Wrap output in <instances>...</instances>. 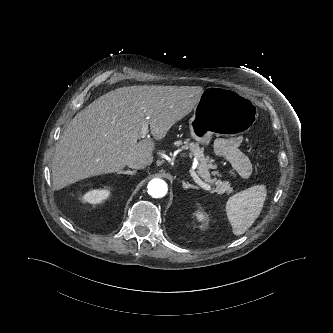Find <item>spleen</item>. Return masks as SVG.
I'll list each match as a JSON object with an SVG mask.
<instances>
[{
	"instance_id": "obj_1",
	"label": "spleen",
	"mask_w": 333,
	"mask_h": 333,
	"mask_svg": "<svg viewBox=\"0 0 333 333\" xmlns=\"http://www.w3.org/2000/svg\"><path fill=\"white\" fill-rule=\"evenodd\" d=\"M266 198L264 185L253 186L231 196L226 213L235 235L245 233L259 216Z\"/></svg>"
}]
</instances>
